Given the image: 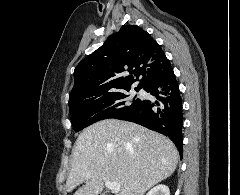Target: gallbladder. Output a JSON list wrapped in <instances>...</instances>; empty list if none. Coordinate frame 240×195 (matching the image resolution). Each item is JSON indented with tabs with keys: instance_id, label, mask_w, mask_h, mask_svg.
Segmentation results:
<instances>
[{
	"instance_id": "obj_1",
	"label": "gallbladder",
	"mask_w": 240,
	"mask_h": 195,
	"mask_svg": "<svg viewBox=\"0 0 240 195\" xmlns=\"http://www.w3.org/2000/svg\"><path fill=\"white\" fill-rule=\"evenodd\" d=\"M103 195H113V192H110L109 190H104Z\"/></svg>"
}]
</instances>
